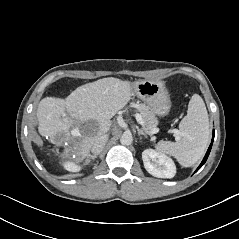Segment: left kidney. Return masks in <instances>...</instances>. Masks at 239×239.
<instances>
[{
	"label": "left kidney",
	"instance_id": "left-kidney-1",
	"mask_svg": "<svg viewBox=\"0 0 239 239\" xmlns=\"http://www.w3.org/2000/svg\"><path fill=\"white\" fill-rule=\"evenodd\" d=\"M145 169L157 178H173L176 166L171 158L153 149H146L142 153Z\"/></svg>",
	"mask_w": 239,
	"mask_h": 239
}]
</instances>
